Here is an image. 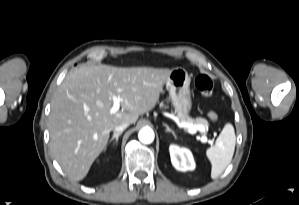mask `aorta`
I'll use <instances>...</instances> for the list:
<instances>
[{"instance_id": "obj_1", "label": "aorta", "mask_w": 299, "mask_h": 205, "mask_svg": "<svg viewBox=\"0 0 299 205\" xmlns=\"http://www.w3.org/2000/svg\"><path fill=\"white\" fill-rule=\"evenodd\" d=\"M138 138L142 143L150 144L154 140V132L151 128L144 127L139 131Z\"/></svg>"}]
</instances>
